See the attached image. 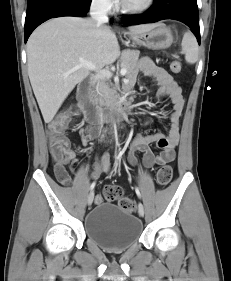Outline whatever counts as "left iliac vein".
<instances>
[{
	"mask_svg": "<svg viewBox=\"0 0 231 281\" xmlns=\"http://www.w3.org/2000/svg\"><path fill=\"white\" fill-rule=\"evenodd\" d=\"M138 213L140 216H144V207L141 203L138 205Z\"/></svg>",
	"mask_w": 231,
	"mask_h": 281,
	"instance_id": "obj_1",
	"label": "left iliac vein"
}]
</instances>
